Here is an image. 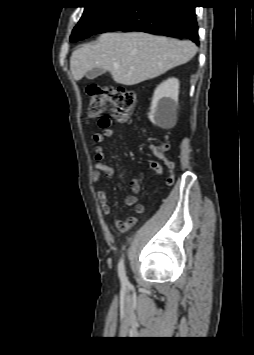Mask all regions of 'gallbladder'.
I'll use <instances>...</instances> for the list:
<instances>
[{
    "label": "gallbladder",
    "mask_w": 254,
    "mask_h": 355,
    "mask_svg": "<svg viewBox=\"0 0 254 355\" xmlns=\"http://www.w3.org/2000/svg\"><path fill=\"white\" fill-rule=\"evenodd\" d=\"M103 73H105V70L102 69V68H99V67H95L91 70L88 71L86 77L89 79V80H93L97 77H99L100 75H102Z\"/></svg>",
    "instance_id": "gallbladder-1"
}]
</instances>
